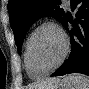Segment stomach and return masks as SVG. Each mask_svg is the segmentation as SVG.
<instances>
[{
	"instance_id": "0dacf381",
	"label": "stomach",
	"mask_w": 89,
	"mask_h": 89,
	"mask_svg": "<svg viewBox=\"0 0 89 89\" xmlns=\"http://www.w3.org/2000/svg\"><path fill=\"white\" fill-rule=\"evenodd\" d=\"M39 89H71L70 86L64 79H60L57 84L50 85L46 88H39Z\"/></svg>"
}]
</instances>
